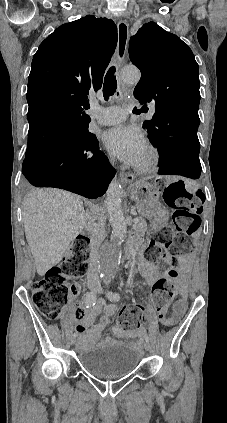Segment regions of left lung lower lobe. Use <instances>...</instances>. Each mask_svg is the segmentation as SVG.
<instances>
[{"label": "left lung lower lobe", "instance_id": "1", "mask_svg": "<svg viewBox=\"0 0 227 423\" xmlns=\"http://www.w3.org/2000/svg\"><path fill=\"white\" fill-rule=\"evenodd\" d=\"M199 123L184 122L167 134H156L151 142L160 152L161 175H182L198 179L201 174Z\"/></svg>", "mask_w": 227, "mask_h": 423}]
</instances>
